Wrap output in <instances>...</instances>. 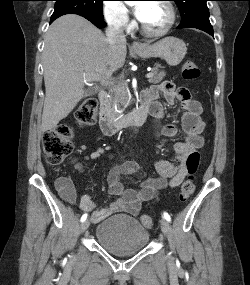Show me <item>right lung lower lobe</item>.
I'll list each match as a JSON object with an SVG mask.
<instances>
[{
    "instance_id": "right-lung-lower-lobe-1",
    "label": "right lung lower lobe",
    "mask_w": 250,
    "mask_h": 285,
    "mask_svg": "<svg viewBox=\"0 0 250 285\" xmlns=\"http://www.w3.org/2000/svg\"><path fill=\"white\" fill-rule=\"evenodd\" d=\"M85 18L88 19L90 22H92L98 28H104L106 26V23L104 22V20H98V19L91 18V17H85ZM53 21L54 20H50V23Z\"/></svg>"
}]
</instances>
